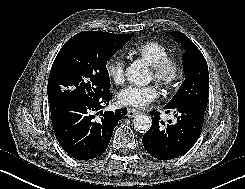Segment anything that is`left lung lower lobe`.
Listing matches in <instances>:
<instances>
[{"label": "left lung lower lobe", "mask_w": 245, "mask_h": 189, "mask_svg": "<svg viewBox=\"0 0 245 189\" xmlns=\"http://www.w3.org/2000/svg\"><path fill=\"white\" fill-rule=\"evenodd\" d=\"M166 113L174 111L177 122L161 127L158 112H151L152 126L144 134L142 142L146 151L159 160H170L186 153L201 134L205 108L196 104L177 107L166 105Z\"/></svg>", "instance_id": "1"}]
</instances>
